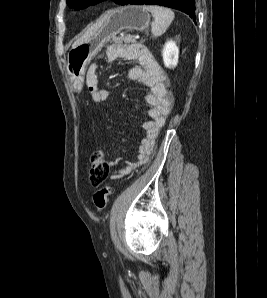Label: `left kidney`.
Here are the masks:
<instances>
[{
    "mask_svg": "<svg viewBox=\"0 0 267 298\" xmlns=\"http://www.w3.org/2000/svg\"><path fill=\"white\" fill-rule=\"evenodd\" d=\"M164 65L167 68H175L178 63L179 49L175 41H168L162 51Z\"/></svg>",
    "mask_w": 267,
    "mask_h": 298,
    "instance_id": "1",
    "label": "left kidney"
}]
</instances>
